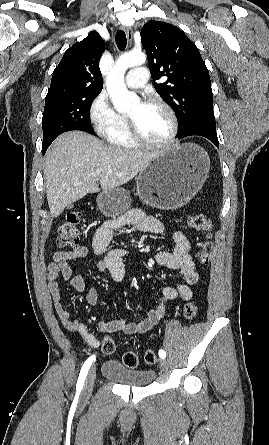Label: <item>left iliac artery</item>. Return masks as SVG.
<instances>
[{"label": "left iliac artery", "mask_w": 269, "mask_h": 445, "mask_svg": "<svg viewBox=\"0 0 269 445\" xmlns=\"http://www.w3.org/2000/svg\"><path fill=\"white\" fill-rule=\"evenodd\" d=\"M159 356H160V358H162V359H164V358L166 357V353H165V351H164L163 349H160V350H159Z\"/></svg>", "instance_id": "obj_1"}]
</instances>
